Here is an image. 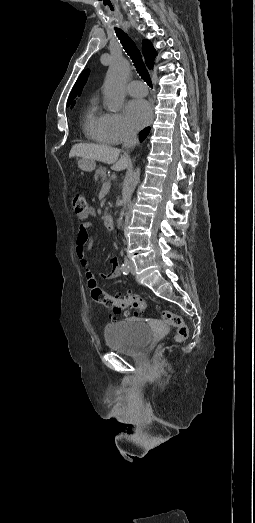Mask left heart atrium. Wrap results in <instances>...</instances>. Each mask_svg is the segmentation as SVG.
Here are the masks:
<instances>
[{
  "label": "left heart atrium",
  "instance_id": "obj_1",
  "mask_svg": "<svg viewBox=\"0 0 255 523\" xmlns=\"http://www.w3.org/2000/svg\"><path fill=\"white\" fill-rule=\"evenodd\" d=\"M151 116L149 103L144 99H134L127 105V118L134 127L145 125Z\"/></svg>",
  "mask_w": 255,
  "mask_h": 523
}]
</instances>
